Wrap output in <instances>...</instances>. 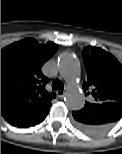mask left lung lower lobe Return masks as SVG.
<instances>
[{
  "label": "left lung lower lobe",
  "mask_w": 122,
  "mask_h": 154,
  "mask_svg": "<svg viewBox=\"0 0 122 154\" xmlns=\"http://www.w3.org/2000/svg\"><path fill=\"white\" fill-rule=\"evenodd\" d=\"M74 114V124L88 134L109 129L122 117V102L89 103Z\"/></svg>",
  "instance_id": "1"
}]
</instances>
